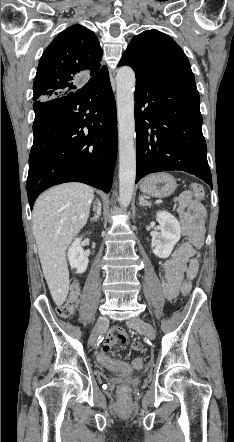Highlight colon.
Wrapping results in <instances>:
<instances>
[{
	"instance_id": "5ec220e1",
	"label": "colon",
	"mask_w": 234,
	"mask_h": 442,
	"mask_svg": "<svg viewBox=\"0 0 234 442\" xmlns=\"http://www.w3.org/2000/svg\"><path fill=\"white\" fill-rule=\"evenodd\" d=\"M190 187L195 197L198 200H202L204 198L205 192L201 184L192 183ZM181 291L185 295L188 294L191 291V284L189 282H184L181 287ZM79 294H80V285L78 282H74L70 287V292L66 301L57 308V313L59 316L63 318H68L75 313V310L79 303ZM95 359L98 360V362L101 365L111 370L124 372V373L132 371V366L129 360L113 359L111 358V352L107 349L97 350L95 352ZM131 362L135 370L142 368L144 365V362L138 356L132 357Z\"/></svg>"
}]
</instances>
